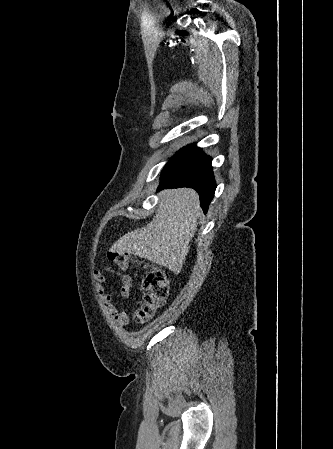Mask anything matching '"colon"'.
<instances>
[{"label":"colon","mask_w":333,"mask_h":449,"mask_svg":"<svg viewBox=\"0 0 333 449\" xmlns=\"http://www.w3.org/2000/svg\"><path fill=\"white\" fill-rule=\"evenodd\" d=\"M108 259L121 269H127L133 263L129 253L119 250L109 252ZM169 284V276L164 270L157 266L147 268L142 281V288L144 290L143 302L135 312V320L137 322L142 323L149 320L157 309L165 303L168 296Z\"/></svg>","instance_id":"1"}]
</instances>
